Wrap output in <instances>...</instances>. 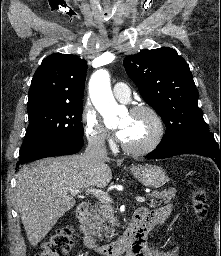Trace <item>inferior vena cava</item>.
I'll use <instances>...</instances> for the list:
<instances>
[{"instance_id": "obj_1", "label": "inferior vena cava", "mask_w": 221, "mask_h": 256, "mask_svg": "<svg viewBox=\"0 0 221 256\" xmlns=\"http://www.w3.org/2000/svg\"><path fill=\"white\" fill-rule=\"evenodd\" d=\"M84 156L92 164L101 165L107 159V150L104 138L101 136H92L88 138V146Z\"/></svg>"}]
</instances>
